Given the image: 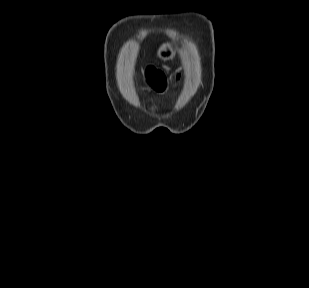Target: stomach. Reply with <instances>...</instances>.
<instances>
[{"label": "stomach", "instance_id": "stomach-1", "mask_svg": "<svg viewBox=\"0 0 309 288\" xmlns=\"http://www.w3.org/2000/svg\"><path fill=\"white\" fill-rule=\"evenodd\" d=\"M174 54L175 51L172 45L169 43L162 44L157 51V56L162 60L172 59L174 57Z\"/></svg>", "mask_w": 309, "mask_h": 288}]
</instances>
